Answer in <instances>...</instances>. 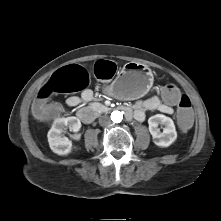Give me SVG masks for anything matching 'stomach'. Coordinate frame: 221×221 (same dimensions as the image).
<instances>
[{
  "label": "stomach",
  "mask_w": 221,
  "mask_h": 221,
  "mask_svg": "<svg viewBox=\"0 0 221 221\" xmlns=\"http://www.w3.org/2000/svg\"><path fill=\"white\" fill-rule=\"evenodd\" d=\"M153 74L146 65L128 62L110 85V92L120 99H136L143 96L153 84Z\"/></svg>",
  "instance_id": "1"
}]
</instances>
